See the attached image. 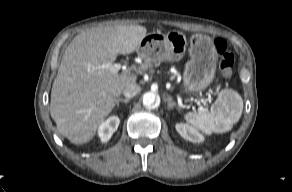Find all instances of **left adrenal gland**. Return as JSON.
<instances>
[{
    "mask_svg": "<svg viewBox=\"0 0 292 192\" xmlns=\"http://www.w3.org/2000/svg\"><path fill=\"white\" fill-rule=\"evenodd\" d=\"M165 101L167 102L169 110H172V109L176 108L180 112V108L176 105L175 101H173L172 97L167 96Z\"/></svg>",
    "mask_w": 292,
    "mask_h": 192,
    "instance_id": "1",
    "label": "left adrenal gland"
}]
</instances>
